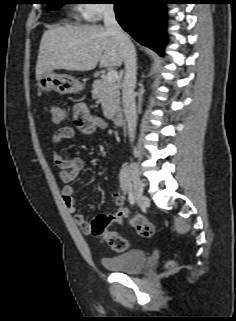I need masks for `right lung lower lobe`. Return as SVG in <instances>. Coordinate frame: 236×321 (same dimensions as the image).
<instances>
[{
  "label": "right lung lower lobe",
  "mask_w": 236,
  "mask_h": 321,
  "mask_svg": "<svg viewBox=\"0 0 236 321\" xmlns=\"http://www.w3.org/2000/svg\"><path fill=\"white\" fill-rule=\"evenodd\" d=\"M116 19L136 41L159 55L166 45L165 0H112Z\"/></svg>",
  "instance_id": "obj_1"
}]
</instances>
